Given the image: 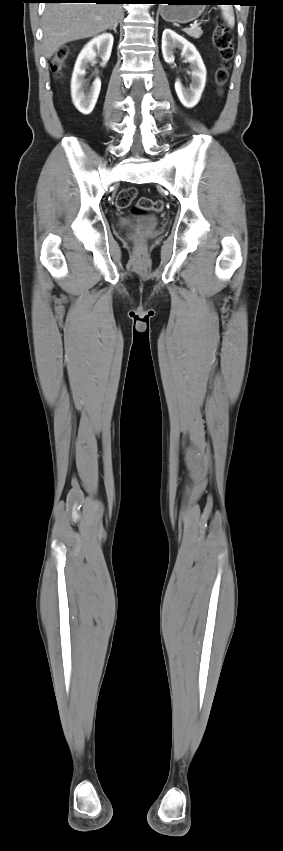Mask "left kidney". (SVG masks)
Segmentation results:
<instances>
[{"label": "left kidney", "instance_id": "obj_1", "mask_svg": "<svg viewBox=\"0 0 283 851\" xmlns=\"http://www.w3.org/2000/svg\"><path fill=\"white\" fill-rule=\"evenodd\" d=\"M181 50V55L190 64L191 83L184 87L179 79L175 82V91L180 102L187 108H193L199 102L206 83V67L195 46L171 29H165L162 34V54L165 62H174V49Z\"/></svg>", "mask_w": 283, "mask_h": 851}]
</instances>
